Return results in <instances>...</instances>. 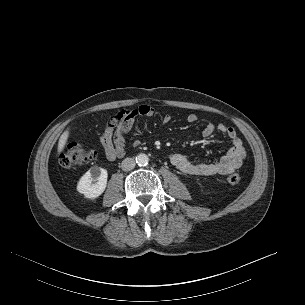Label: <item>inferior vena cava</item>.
I'll list each match as a JSON object with an SVG mask.
<instances>
[{"mask_svg": "<svg viewBox=\"0 0 305 305\" xmlns=\"http://www.w3.org/2000/svg\"><path fill=\"white\" fill-rule=\"evenodd\" d=\"M135 161L132 158H125L122 161L121 167L123 171H130L135 167Z\"/></svg>", "mask_w": 305, "mask_h": 305, "instance_id": "inferior-vena-cava-1", "label": "inferior vena cava"}]
</instances>
